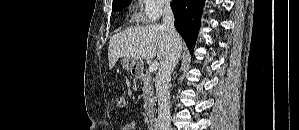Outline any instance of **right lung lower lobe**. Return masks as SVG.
<instances>
[{
	"instance_id": "right-lung-lower-lobe-1",
	"label": "right lung lower lobe",
	"mask_w": 299,
	"mask_h": 130,
	"mask_svg": "<svg viewBox=\"0 0 299 130\" xmlns=\"http://www.w3.org/2000/svg\"><path fill=\"white\" fill-rule=\"evenodd\" d=\"M204 0H172L175 28L193 52L197 39Z\"/></svg>"
}]
</instances>
